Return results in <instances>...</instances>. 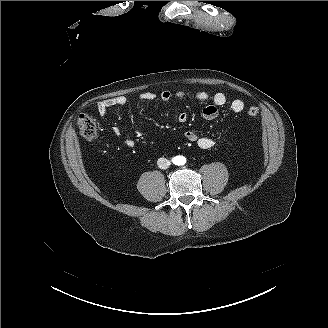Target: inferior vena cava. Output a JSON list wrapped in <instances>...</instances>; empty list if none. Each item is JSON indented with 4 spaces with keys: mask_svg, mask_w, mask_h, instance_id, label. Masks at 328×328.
Wrapping results in <instances>:
<instances>
[{
    "mask_svg": "<svg viewBox=\"0 0 328 328\" xmlns=\"http://www.w3.org/2000/svg\"><path fill=\"white\" fill-rule=\"evenodd\" d=\"M170 161L166 158H159L157 161V165L159 168L167 169L170 166Z\"/></svg>",
    "mask_w": 328,
    "mask_h": 328,
    "instance_id": "inferior-vena-cava-1",
    "label": "inferior vena cava"
}]
</instances>
